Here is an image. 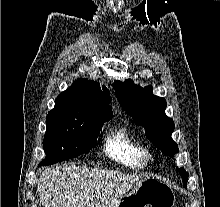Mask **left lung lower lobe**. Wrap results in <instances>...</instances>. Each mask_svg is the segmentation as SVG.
Wrapping results in <instances>:
<instances>
[{"instance_id": "left-lung-lower-lobe-1", "label": "left lung lower lobe", "mask_w": 220, "mask_h": 207, "mask_svg": "<svg viewBox=\"0 0 220 207\" xmlns=\"http://www.w3.org/2000/svg\"><path fill=\"white\" fill-rule=\"evenodd\" d=\"M176 169L180 173V175L182 176L183 185L186 187V183L188 180V173L183 168H176Z\"/></svg>"}]
</instances>
